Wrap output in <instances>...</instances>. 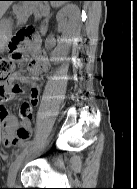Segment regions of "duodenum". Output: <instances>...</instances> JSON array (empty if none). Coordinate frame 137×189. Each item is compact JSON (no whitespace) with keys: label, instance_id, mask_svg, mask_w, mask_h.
<instances>
[{"label":"duodenum","instance_id":"1","mask_svg":"<svg viewBox=\"0 0 137 189\" xmlns=\"http://www.w3.org/2000/svg\"><path fill=\"white\" fill-rule=\"evenodd\" d=\"M34 56H35V59H37V60H40L42 57L40 56V54H39V52H36L35 54H34Z\"/></svg>","mask_w":137,"mask_h":189}]
</instances>
